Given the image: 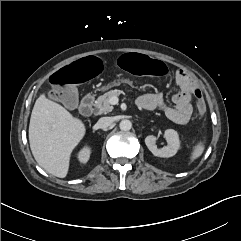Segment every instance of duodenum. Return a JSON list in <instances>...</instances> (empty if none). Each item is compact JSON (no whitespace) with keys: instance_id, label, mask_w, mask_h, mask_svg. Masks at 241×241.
I'll use <instances>...</instances> for the list:
<instances>
[{"instance_id":"1","label":"duodenum","mask_w":241,"mask_h":241,"mask_svg":"<svg viewBox=\"0 0 241 241\" xmlns=\"http://www.w3.org/2000/svg\"><path fill=\"white\" fill-rule=\"evenodd\" d=\"M94 96L92 94H86L81 101L79 111L83 116H90L93 112Z\"/></svg>"}]
</instances>
